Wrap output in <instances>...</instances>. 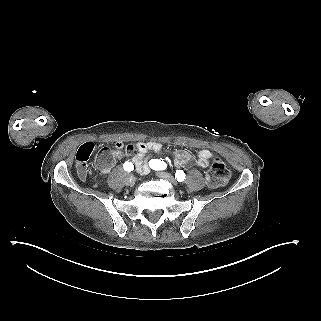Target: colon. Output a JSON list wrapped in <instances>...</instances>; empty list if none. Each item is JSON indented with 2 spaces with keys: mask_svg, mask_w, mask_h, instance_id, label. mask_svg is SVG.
<instances>
[{
  "mask_svg": "<svg viewBox=\"0 0 321 321\" xmlns=\"http://www.w3.org/2000/svg\"><path fill=\"white\" fill-rule=\"evenodd\" d=\"M134 144L127 145L128 150L134 149ZM77 171L80 176H87V160L84 156L76 159ZM229 178V170L220 157L212 159L209 169L206 172L207 183L212 187L224 185Z\"/></svg>",
  "mask_w": 321,
  "mask_h": 321,
  "instance_id": "obj_1",
  "label": "colon"
}]
</instances>
